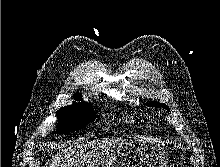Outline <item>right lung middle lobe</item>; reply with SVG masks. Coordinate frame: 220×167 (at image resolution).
Returning a JSON list of instances; mask_svg holds the SVG:
<instances>
[{
    "label": "right lung middle lobe",
    "mask_w": 220,
    "mask_h": 167,
    "mask_svg": "<svg viewBox=\"0 0 220 167\" xmlns=\"http://www.w3.org/2000/svg\"><path fill=\"white\" fill-rule=\"evenodd\" d=\"M58 118L57 134H68L83 129L95 119V113L89 103H78L61 108L56 113Z\"/></svg>",
    "instance_id": "1"
}]
</instances>
